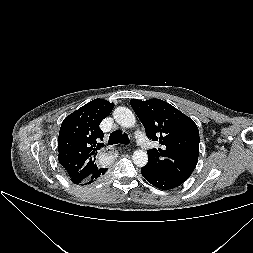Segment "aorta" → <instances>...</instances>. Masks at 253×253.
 Masks as SVG:
<instances>
[{
    "label": "aorta",
    "instance_id": "aorta-1",
    "mask_svg": "<svg viewBox=\"0 0 253 253\" xmlns=\"http://www.w3.org/2000/svg\"><path fill=\"white\" fill-rule=\"evenodd\" d=\"M115 121L124 128H132L135 126L136 117L134 113L126 107H117L113 111ZM133 163L138 167H143L148 162L147 152L136 150L132 155Z\"/></svg>",
    "mask_w": 253,
    "mask_h": 253
}]
</instances>
